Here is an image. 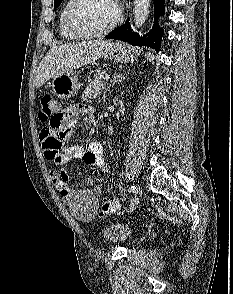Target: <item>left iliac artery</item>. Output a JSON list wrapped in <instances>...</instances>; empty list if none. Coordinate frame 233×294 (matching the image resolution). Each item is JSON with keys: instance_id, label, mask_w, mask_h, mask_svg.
<instances>
[{"instance_id": "obj_1", "label": "left iliac artery", "mask_w": 233, "mask_h": 294, "mask_svg": "<svg viewBox=\"0 0 233 294\" xmlns=\"http://www.w3.org/2000/svg\"><path fill=\"white\" fill-rule=\"evenodd\" d=\"M129 192L138 193V192H141V191H140V188L132 186V187H130Z\"/></svg>"}]
</instances>
